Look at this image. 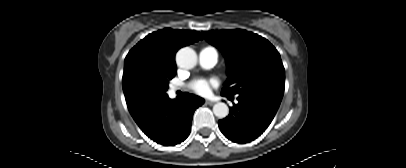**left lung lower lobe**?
<instances>
[{
    "instance_id": "left-lung-lower-lobe-1",
    "label": "left lung lower lobe",
    "mask_w": 406,
    "mask_h": 168,
    "mask_svg": "<svg viewBox=\"0 0 406 168\" xmlns=\"http://www.w3.org/2000/svg\"><path fill=\"white\" fill-rule=\"evenodd\" d=\"M281 99L263 94L238 96V104L230 108L229 116L218 122L221 132L237 143L256 139L273 120Z\"/></svg>"
}]
</instances>
